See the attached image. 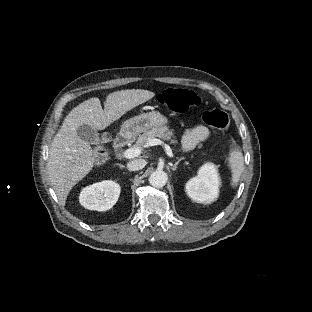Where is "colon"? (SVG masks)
<instances>
[{"label":"colon","instance_id":"1","mask_svg":"<svg viewBox=\"0 0 312 312\" xmlns=\"http://www.w3.org/2000/svg\"><path fill=\"white\" fill-rule=\"evenodd\" d=\"M157 102L169 108L174 113L182 114L201 105L200 100L196 99L195 93L186 89H168L157 96ZM203 121L219 129H225L229 123L227 113L220 109H212L204 112ZM112 141V132L103 130L98 137V142L94 151V162L103 165L108 161V149Z\"/></svg>","mask_w":312,"mask_h":312}]
</instances>
